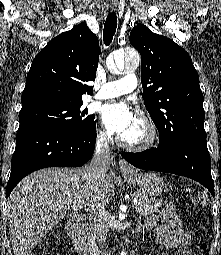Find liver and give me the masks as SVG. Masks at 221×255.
<instances>
[{"label":"liver","instance_id":"liver-1","mask_svg":"<svg viewBox=\"0 0 221 255\" xmlns=\"http://www.w3.org/2000/svg\"><path fill=\"white\" fill-rule=\"evenodd\" d=\"M114 188L110 174L96 180L89 166L47 168L26 176L7 201L14 255H31L38 242L65 217L66 209L104 207L114 196Z\"/></svg>","mask_w":221,"mask_h":255}]
</instances>
